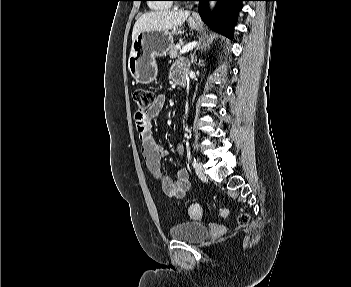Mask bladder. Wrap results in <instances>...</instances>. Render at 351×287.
<instances>
[{
	"mask_svg": "<svg viewBox=\"0 0 351 287\" xmlns=\"http://www.w3.org/2000/svg\"><path fill=\"white\" fill-rule=\"evenodd\" d=\"M208 234V227L199 220H189L175 224L170 229V236L177 240L196 243Z\"/></svg>",
	"mask_w": 351,
	"mask_h": 287,
	"instance_id": "1",
	"label": "bladder"
}]
</instances>
